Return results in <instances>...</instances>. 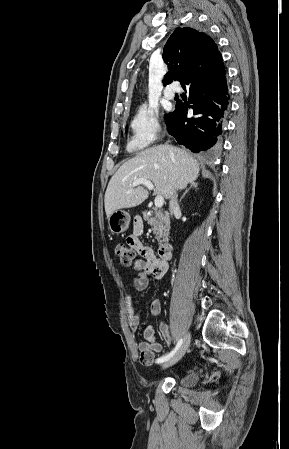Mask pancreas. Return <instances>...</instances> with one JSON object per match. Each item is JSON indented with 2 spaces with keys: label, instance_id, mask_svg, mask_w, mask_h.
Returning a JSON list of instances; mask_svg holds the SVG:
<instances>
[{
  "label": "pancreas",
  "instance_id": "obj_1",
  "mask_svg": "<svg viewBox=\"0 0 289 449\" xmlns=\"http://www.w3.org/2000/svg\"><path fill=\"white\" fill-rule=\"evenodd\" d=\"M143 218L150 226H153L152 230L156 235L159 245L162 244L163 241L168 240L170 224L165 213L160 210H155V212L145 211L143 213Z\"/></svg>",
  "mask_w": 289,
  "mask_h": 449
}]
</instances>
